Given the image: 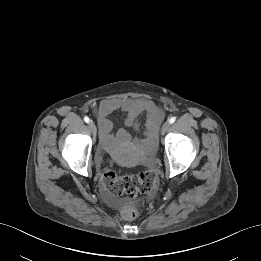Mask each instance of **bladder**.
<instances>
[{
  "label": "bladder",
  "mask_w": 261,
  "mask_h": 261,
  "mask_svg": "<svg viewBox=\"0 0 261 261\" xmlns=\"http://www.w3.org/2000/svg\"><path fill=\"white\" fill-rule=\"evenodd\" d=\"M131 143L136 148V150L143 155H147L154 150L155 140L152 136H147L142 139H132L127 135H112L109 141H102L109 151L115 155V159L120 163H127L129 159L121 153V148L124 144Z\"/></svg>",
  "instance_id": "bladder-1"
}]
</instances>
